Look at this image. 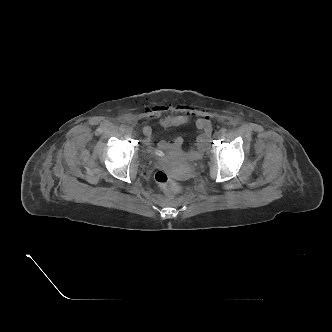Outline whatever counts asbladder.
<instances>
[{
  "instance_id": "bladder-1",
  "label": "bladder",
  "mask_w": 332,
  "mask_h": 332,
  "mask_svg": "<svg viewBox=\"0 0 332 332\" xmlns=\"http://www.w3.org/2000/svg\"><path fill=\"white\" fill-rule=\"evenodd\" d=\"M202 155V152L196 151V150H190L188 152V158L190 160H197L198 158H200V156Z\"/></svg>"
}]
</instances>
